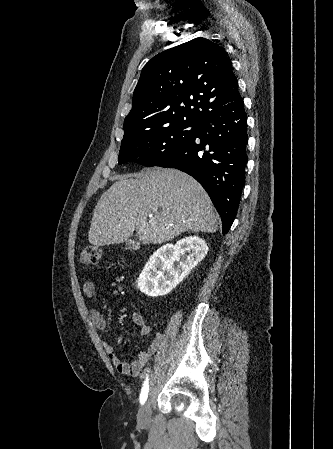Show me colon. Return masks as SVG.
I'll return each mask as SVG.
<instances>
[{"label":"colon","instance_id":"colon-1","mask_svg":"<svg viewBox=\"0 0 333 449\" xmlns=\"http://www.w3.org/2000/svg\"><path fill=\"white\" fill-rule=\"evenodd\" d=\"M101 254V249L98 246L89 245L83 249L80 262L86 266L94 265L101 258Z\"/></svg>","mask_w":333,"mask_h":449}]
</instances>
